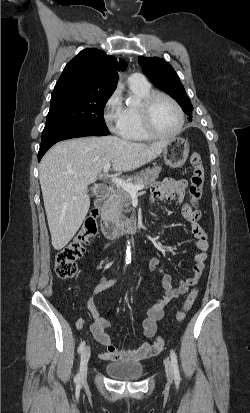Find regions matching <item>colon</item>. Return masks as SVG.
<instances>
[{
    "mask_svg": "<svg viewBox=\"0 0 250 413\" xmlns=\"http://www.w3.org/2000/svg\"><path fill=\"white\" fill-rule=\"evenodd\" d=\"M190 161L193 166V174L189 187L188 202L191 206L196 207L202 195L205 172L202 158L199 154H192ZM98 218L99 212L92 210L75 237L57 252L55 256V269L59 278L69 280L78 274L77 260L83 255L85 247L89 241L97 235ZM197 294L198 290L196 288L190 291L182 308L176 314V320L178 322H182L185 319L187 312L190 310L197 297ZM153 344L156 349L162 350L165 346V341L163 338L158 337Z\"/></svg>",
    "mask_w": 250,
    "mask_h": 413,
    "instance_id": "obj_1",
    "label": "colon"
}]
</instances>
